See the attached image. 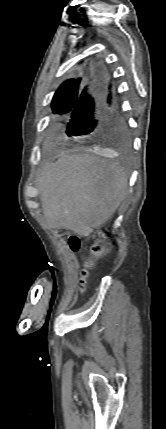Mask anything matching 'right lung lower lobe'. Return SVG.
I'll return each instance as SVG.
<instances>
[{
	"label": "right lung lower lobe",
	"instance_id": "obj_1",
	"mask_svg": "<svg viewBox=\"0 0 166 429\" xmlns=\"http://www.w3.org/2000/svg\"><path fill=\"white\" fill-rule=\"evenodd\" d=\"M84 85L71 109L66 134L106 141L114 130L126 127V121L116 104H112L111 96L106 94L105 77L97 73L87 86Z\"/></svg>",
	"mask_w": 166,
	"mask_h": 429
}]
</instances>
